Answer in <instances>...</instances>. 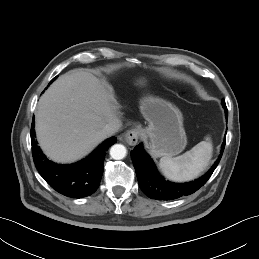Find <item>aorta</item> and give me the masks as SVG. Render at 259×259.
<instances>
[{
	"mask_svg": "<svg viewBox=\"0 0 259 259\" xmlns=\"http://www.w3.org/2000/svg\"><path fill=\"white\" fill-rule=\"evenodd\" d=\"M127 150L124 145L115 144L110 149V156L115 160L123 159L126 156Z\"/></svg>",
	"mask_w": 259,
	"mask_h": 259,
	"instance_id": "762f6f07",
	"label": "aorta"
}]
</instances>
